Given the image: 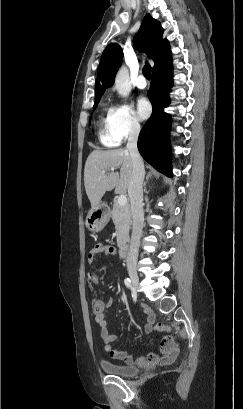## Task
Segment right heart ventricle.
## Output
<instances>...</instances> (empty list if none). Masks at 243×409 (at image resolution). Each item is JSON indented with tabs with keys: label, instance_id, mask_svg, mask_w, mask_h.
Here are the masks:
<instances>
[{
	"label": "right heart ventricle",
	"instance_id": "right-heart-ventricle-1",
	"mask_svg": "<svg viewBox=\"0 0 243 409\" xmlns=\"http://www.w3.org/2000/svg\"><path fill=\"white\" fill-rule=\"evenodd\" d=\"M105 122L107 123V119L105 120ZM100 140L102 144H104L107 147H114L118 143V141L109 132L107 124L103 126L100 131Z\"/></svg>",
	"mask_w": 243,
	"mask_h": 409
}]
</instances>
